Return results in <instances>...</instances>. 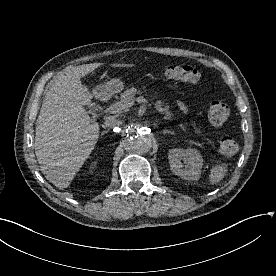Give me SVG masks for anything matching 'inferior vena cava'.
Masks as SVG:
<instances>
[{
  "instance_id": "inferior-vena-cava-1",
  "label": "inferior vena cava",
  "mask_w": 276,
  "mask_h": 276,
  "mask_svg": "<svg viewBox=\"0 0 276 276\" xmlns=\"http://www.w3.org/2000/svg\"><path fill=\"white\" fill-rule=\"evenodd\" d=\"M121 125V121L117 120V119H114V118H110V119H107L104 124L102 125L103 128H107V129H111V128H114V127H117Z\"/></svg>"
}]
</instances>
